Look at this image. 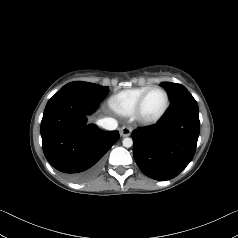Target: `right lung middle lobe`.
Wrapping results in <instances>:
<instances>
[{
	"label": "right lung middle lobe",
	"mask_w": 238,
	"mask_h": 238,
	"mask_svg": "<svg viewBox=\"0 0 238 238\" xmlns=\"http://www.w3.org/2000/svg\"><path fill=\"white\" fill-rule=\"evenodd\" d=\"M74 89L77 90L88 97L97 100H103L108 94V87L101 86L94 83L83 82V81H74L66 84L61 88L62 90Z\"/></svg>",
	"instance_id": "right-lung-middle-lobe-1"
}]
</instances>
